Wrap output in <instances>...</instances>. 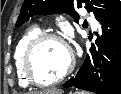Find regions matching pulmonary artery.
<instances>
[{"mask_svg":"<svg viewBox=\"0 0 121 94\" xmlns=\"http://www.w3.org/2000/svg\"><path fill=\"white\" fill-rule=\"evenodd\" d=\"M88 20H89V22L91 23V25L94 29L98 28V22L94 18L89 17Z\"/></svg>","mask_w":121,"mask_h":94,"instance_id":"e3ab8cb5","label":"pulmonary artery"}]
</instances>
